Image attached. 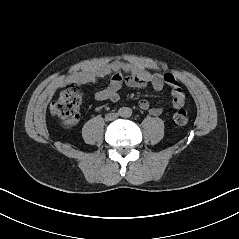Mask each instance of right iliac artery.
<instances>
[{
  "label": "right iliac artery",
  "mask_w": 239,
  "mask_h": 239,
  "mask_svg": "<svg viewBox=\"0 0 239 239\" xmlns=\"http://www.w3.org/2000/svg\"><path fill=\"white\" fill-rule=\"evenodd\" d=\"M124 113H125V110H124V109H119V110H118V114H119V115L123 116Z\"/></svg>",
  "instance_id": "82829eb1"
}]
</instances>
